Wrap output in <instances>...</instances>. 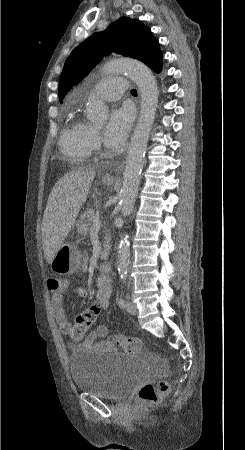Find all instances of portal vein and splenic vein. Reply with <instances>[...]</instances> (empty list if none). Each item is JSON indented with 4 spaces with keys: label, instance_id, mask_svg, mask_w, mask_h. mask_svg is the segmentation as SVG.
Here are the masks:
<instances>
[{
    "label": "portal vein and splenic vein",
    "instance_id": "obj_1",
    "mask_svg": "<svg viewBox=\"0 0 245 450\" xmlns=\"http://www.w3.org/2000/svg\"><path fill=\"white\" fill-rule=\"evenodd\" d=\"M102 226V222L98 216H95L93 219V224L91 226V231L99 230Z\"/></svg>",
    "mask_w": 245,
    "mask_h": 450
}]
</instances>
